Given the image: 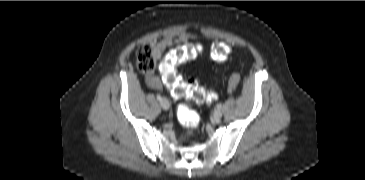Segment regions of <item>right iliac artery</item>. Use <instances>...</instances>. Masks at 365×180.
Masks as SVG:
<instances>
[{
    "instance_id": "right-iliac-artery-1",
    "label": "right iliac artery",
    "mask_w": 365,
    "mask_h": 180,
    "mask_svg": "<svg viewBox=\"0 0 365 180\" xmlns=\"http://www.w3.org/2000/svg\"><path fill=\"white\" fill-rule=\"evenodd\" d=\"M157 99H158L159 101H161V100H162V97H161L159 94H157Z\"/></svg>"
}]
</instances>
